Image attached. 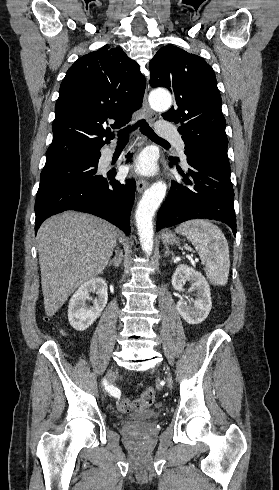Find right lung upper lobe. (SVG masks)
Instances as JSON below:
<instances>
[{
	"label": "right lung upper lobe",
	"instance_id": "right-lung-upper-lobe-1",
	"mask_svg": "<svg viewBox=\"0 0 279 490\" xmlns=\"http://www.w3.org/2000/svg\"><path fill=\"white\" fill-rule=\"evenodd\" d=\"M145 78L121 48H101L79 58L67 71L55 106L53 140L46 164L101 155L142 104ZM103 137L107 139L104 141Z\"/></svg>",
	"mask_w": 279,
	"mask_h": 490
}]
</instances>
